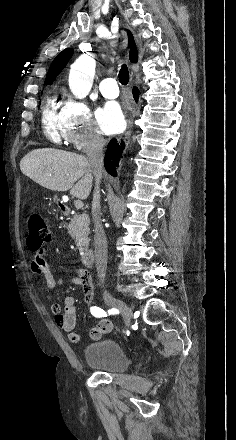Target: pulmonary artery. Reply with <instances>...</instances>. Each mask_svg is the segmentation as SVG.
<instances>
[{"mask_svg":"<svg viewBox=\"0 0 236 440\" xmlns=\"http://www.w3.org/2000/svg\"><path fill=\"white\" fill-rule=\"evenodd\" d=\"M99 89L106 98H116L119 94L117 82L114 78H104L100 83Z\"/></svg>","mask_w":236,"mask_h":440,"instance_id":"1","label":"pulmonary artery"}]
</instances>
